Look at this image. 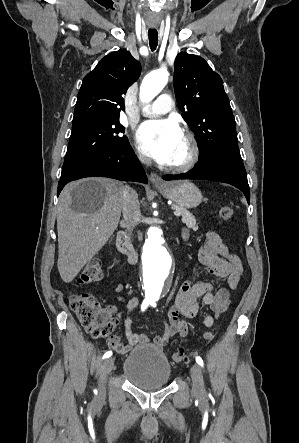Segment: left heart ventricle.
I'll return each mask as SVG.
<instances>
[{
  "mask_svg": "<svg viewBox=\"0 0 299 443\" xmlns=\"http://www.w3.org/2000/svg\"><path fill=\"white\" fill-rule=\"evenodd\" d=\"M187 154H188V144H187V141L185 140V138L183 137V139L181 140V142L179 143V145L175 151V155H174L173 160L170 164H177V163L184 161Z\"/></svg>",
  "mask_w": 299,
  "mask_h": 443,
  "instance_id": "b2bd125f",
  "label": "left heart ventricle"
}]
</instances>
